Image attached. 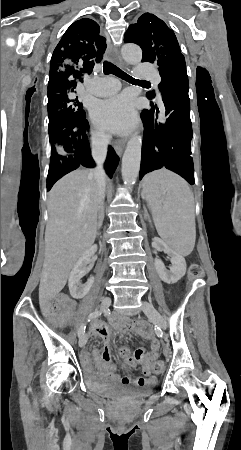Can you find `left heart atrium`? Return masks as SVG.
Returning a JSON list of instances; mask_svg holds the SVG:
<instances>
[{"instance_id": "obj_1", "label": "left heart atrium", "mask_w": 241, "mask_h": 450, "mask_svg": "<svg viewBox=\"0 0 241 450\" xmlns=\"http://www.w3.org/2000/svg\"><path fill=\"white\" fill-rule=\"evenodd\" d=\"M91 117L94 124L103 131L126 133L136 123L134 98L122 93L100 101L92 110Z\"/></svg>"}]
</instances>
